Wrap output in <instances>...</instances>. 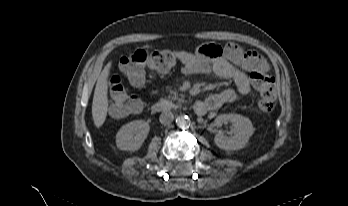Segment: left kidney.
I'll return each mask as SVG.
<instances>
[{
    "instance_id": "5707ae66",
    "label": "left kidney",
    "mask_w": 348,
    "mask_h": 206,
    "mask_svg": "<svg viewBox=\"0 0 348 206\" xmlns=\"http://www.w3.org/2000/svg\"><path fill=\"white\" fill-rule=\"evenodd\" d=\"M228 122H231L234 125V135L227 137L219 131L214 138L215 144L225 151H233L243 148L254 131L251 121L239 114H222L215 119L214 126L221 127L223 124Z\"/></svg>"
}]
</instances>
